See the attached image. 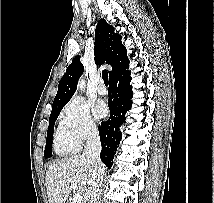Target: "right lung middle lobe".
<instances>
[{"label": "right lung middle lobe", "instance_id": "dd1d6c3e", "mask_svg": "<svg viewBox=\"0 0 214 203\" xmlns=\"http://www.w3.org/2000/svg\"><path fill=\"white\" fill-rule=\"evenodd\" d=\"M59 113H60V111L56 112L54 114H51L50 118H49V127H48V131H47L46 146H45V151H44V156L46 158L52 156V135H53V130H54V124H55V121H56Z\"/></svg>", "mask_w": 214, "mask_h": 203}]
</instances>
